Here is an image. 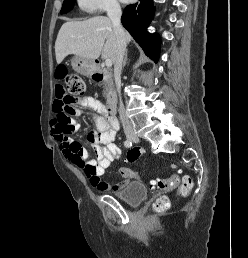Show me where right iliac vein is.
<instances>
[{"mask_svg": "<svg viewBox=\"0 0 248 258\" xmlns=\"http://www.w3.org/2000/svg\"><path fill=\"white\" fill-rule=\"evenodd\" d=\"M127 136L130 140H134L138 137V135L136 133H129Z\"/></svg>", "mask_w": 248, "mask_h": 258, "instance_id": "63e3f726", "label": "right iliac vein"}]
</instances>
